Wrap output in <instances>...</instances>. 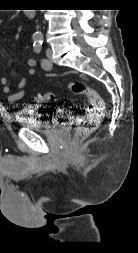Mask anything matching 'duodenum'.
I'll return each mask as SVG.
<instances>
[{
  "mask_svg": "<svg viewBox=\"0 0 138 253\" xmlns=\"http://www.w3.org/2000/svg\"><path fill=\"white\" fill-rule=\"evenodd\" d=\"M35 14H36V12L33 9H29L28 11H26V16L28 18H34Z\"/></svg>",
  "mask_w": 138,
  "mask_h": 253,
  "instance_id": "410a0bca",
  "label": "duodenum"
}]
</instances>
